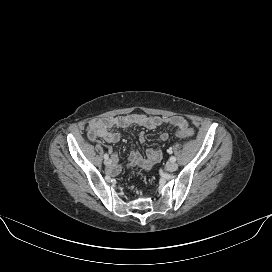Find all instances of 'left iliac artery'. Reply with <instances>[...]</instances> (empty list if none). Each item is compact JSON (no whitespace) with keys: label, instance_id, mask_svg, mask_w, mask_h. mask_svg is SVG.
Returning <instances> with one entry per match:
<instances>
[{"label":"left iliac artery","instance_id":"44dca946","mask_svg":"<svg viewBox=\"0 0 272 272\" xmlns=\"http://www.w3.org/2000/svg\"><path fill=\"white\" fill-rule=\"evenodd\" d=\"M167 152H168L169 154H171V153H172V149L169 148V149L167 150ZM169 160H170L171 162H175V161H176V158H175L174 156H171Z\"/></svg>","mask_w":272,"mask_h":272}]
</instances>
